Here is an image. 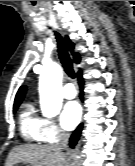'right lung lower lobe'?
I'll return each instance as SVG.
<instances>
[{
	"label": "right lung lower lobe",
	"instance_id": "1",
	"mask_svg": "<svg viewBox=\"0 0 135 166\" xmlns=\"http://www.w3.org/2000/svg\"><path fill=\"white\" fill-rule=\"evenodd\" d=\"M77 77H78V84H79V87H80L79 97H80L81 100H83V95H84V92H83V89H84V79L82 77V72L81 71H79L77 73ZM81 131H82V124H80L77 127V129L71 135V138H70V146L71 147H74L75 144L77 143V141L79 139V136L81 134Z\"/></svg>",
	"mask_w": 135,
	"mask_h": 166
}]
</instances>
